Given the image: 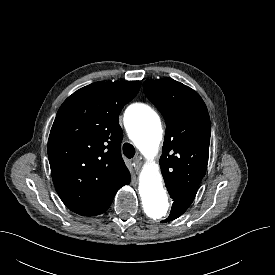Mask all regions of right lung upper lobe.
Segmentation results:
<instances>
[{"label":"right lung upper lobe","mask_w":275,"mask_h":275,"mask_svg":"<svg viewBox=\"0 0 275 275\" xmlns=\"http://www.w3.org/2000/svg\"><path fill=\"white\" fill-rule=\"evenodd\" d=\"M140 86V81L95 82L74 92L58 110L48 157L56 191L71 211L101 214L131 181L121 156L119 114Z\"/></svg>","instance_id":"cb5924a9"}]
</instances>
